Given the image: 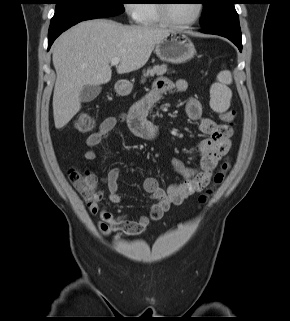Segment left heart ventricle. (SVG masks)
I'll return each instance as SVG.
<instances>
[{
  "mask_svg": "<svg viewBox=\"0 0 290 321\" xmlns=\"http://www.w3.org/2000/svg\"><path fill=\"white\" fill-rule=\"evenodd\" d=\"M197 10V2L195 0H174L169 3V16L177 22H185L191 20Z\"/></svg>",
  "mask_w": 290,
  "mask_h": 321,
  "instance_id": "1",
  "label": "left heart ventricle"
}]
</instances>
